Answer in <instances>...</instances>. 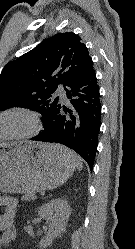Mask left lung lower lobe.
<instances>
[{"label": "left lung lower lobe", "instance_id": "left-lung-lower-lobe-1", "mask_svg": "<svg viewBox=\"0 0 135 249\" xmlns=\"http://www.w3.org/2000/svg\"><path fill=\"white\" fill-rule=\"evenodd\" d=\"M65 90L69 106L58 102L43 119L44 131L32 140L63 144L77 152L92 170L101 125L100 94L93 65Z\"/></svg>", "mask_w": 135, "mask_h": 249}]
</instances>
